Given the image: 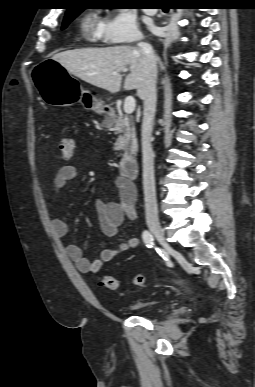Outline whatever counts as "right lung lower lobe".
Wrapping results in <instances>:
<instances>
[{
  "instance_id": "right-lung-lower-lobe-1",
  "label": "right lung lower lobe",
  "mask_w": 255,
  "mask_h": 387,
  "mask_svg": "<svg viewBox=\"0 0 255 387\" xmlns=\"http://www.w3.org/2000/svg\"><path fill=\"white\" fill-rule=\"evenodd\" d=\"M184 4V3H183ZM186 4V3H185ZM188 4V3H187ZM173 9H177V7H174Z\"/></svg>"
}]
</instances>
